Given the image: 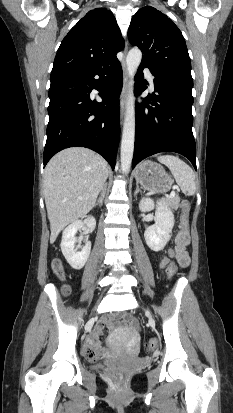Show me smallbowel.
I'll return each mask as SVG.
<instances>
[{
  "label": "small bowel",
  "mask_w": 233,
  "mask_h": 413,
  "mask_svg": "<svg viewBox=\"0 0 233 413\" xmlns=\"http://www.w3.org/2000/svg\"><path fill=\"white\" fill-rule=\"evenodd\" d=\"M175 245L174 247L168 249L165 255L162 256L159 267L164 270L172 258L176 259L177 263L185 267L189 264L190 258L186 251V247L189 243V237L183 235L178 231L175 235ZM124 323L129 325L131 328L135 326V321L130 314L123 315ZM116 322V318L113 315L103 318L95 329L93 335H91L87 341V354L96 357L98 354H107L108 351L102 348L99 340V336L103 333L105 328H112ZM131 349L134 350L136 347L135 338L131 342Z\"/></svg>",
  "instance_id": "small-bowel-1"
}]
</instances>
